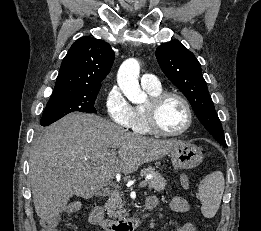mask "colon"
<instances>
[{
	"label": "colon",
	"instance_id": "obj_1",
	"mask_svg": "<svg viewBox=\"0 0 261 231\" xmlns=\"http://www.w3.org/2000/svg\"><path fill=\"white\" fill-rule=\"evenodd\" d=\"M181 186L183 187L182 179L180 178ZM81 210V205L78 202H72L68 204L65 208L61 209L58 214L65 215V214H76ZM56 215H52L47 219H43L41 221V230L40 231H57L56 228Z\"/></svg>",
	"mask_w": 261,
	"mask_h": 231
}]
</instances>
